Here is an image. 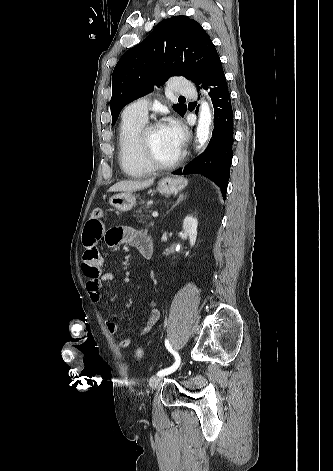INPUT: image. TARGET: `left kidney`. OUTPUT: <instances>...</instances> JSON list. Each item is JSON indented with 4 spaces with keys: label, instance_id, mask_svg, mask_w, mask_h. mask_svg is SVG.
<instances>
[{
    "label": "left kidney",
    "instance_id": "left-kidney-1",
    "mask_svg": "<svg viewBox=\"0 0 333 471\" xmlns=\"http://www.w3.org/2000/svg\"><path fill=\"white\" fill-rule=\"evenodd\" d=\"M197 227L198 220L192 215L185 217L183 221V231L189 237L191 247L194 246L197 239ZM189 255V251L186 252L185 256Z\"/></svg>",
    "mask_w": 333,
    "mask_h": 471
}]
</instances>
